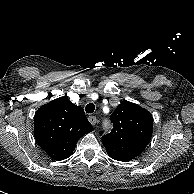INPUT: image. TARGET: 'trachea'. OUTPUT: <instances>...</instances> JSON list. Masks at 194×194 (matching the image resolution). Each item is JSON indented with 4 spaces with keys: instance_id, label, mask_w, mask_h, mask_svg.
Returning <instances> with one entry per match:
<instances>
[{
    "instance_id": "obj_1",
    "label": "trachea",
    "mask_w": 194,
    "mask_h": 194,
    "mask_svg": "<svg viewBox=\"0 0 194 194\" xmlns=\"http://www.w3.org/2000/svg\"><path fill=\"white\" fill-rule=\"evenodd\" d=\"M94 110H95V105H94L93 103H89V104H87L86 107H85L86 113L91 114V113L94 112Z\"/></svg>"
}]
</instances>
